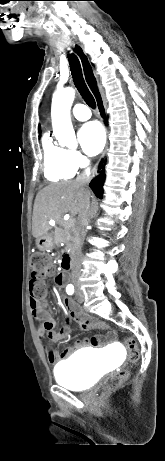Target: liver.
Listing matches in <instances>:
<instances>
[{
	"label": "liver",
	"instance_id": "6515ba94",
	"mask_svg": "<svg viewBox=\"0 0 165 461\" xmlns=\"http://www.w3.org/2000/svg\"><path fill=\"white\" fill-rule=\"evenodd\" d=\"M90 191L77 180L50 184L36 196L32 216V235L38 239L50 230V221H59L68 212L79 215Z\"/></svg>",
	"mask_w": 165,
	"mask_h": 461
}]
</instances>
